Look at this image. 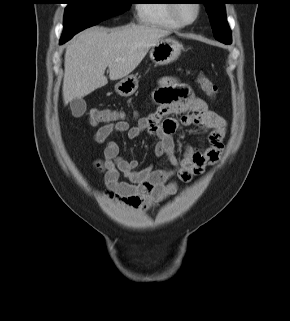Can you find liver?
Masks as SVG:
<instances>
[{
    "label": "liver",
    "instance_id": "obj_1",
    "mask_svg": "<svg viewBox=\"0 0 290 321\" xmlns=\"http://www.w3.org/2000/svg\"><path fill=\"white\" fill-rule=\"evenodd\" d=\"M170 32L148 25L108 29L91 27L66 47L62 94L64 104L82 98L108 83L127 77L149 49Z\"/></svg>",
    "mask_w": 290,
    "mask_h": 321
}]
</instances>
